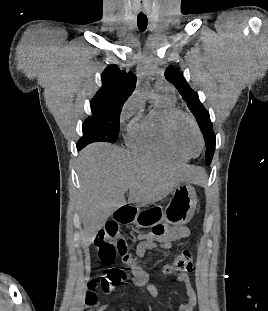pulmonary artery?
Listing matches in <instances>:
<instances>
[{"label":"pulmonary artery","instance_id":"e3ab8cb5","mask_svg":"<svg viewBox=\"0 0 268 311\" xmlns=\"http://www.w3.org/2000/svg\"><path fill=\"white\" fill-rule=\"evenodd\" d=\"M155 89L160 92H170L171 88L164 82H157L155 84Z\"/></svg>","mask_w":268,"mask_h":311}]
</instances>
